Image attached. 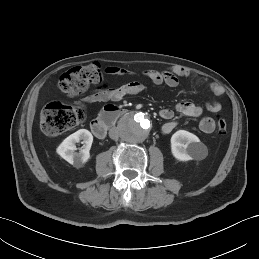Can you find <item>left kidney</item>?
I'll use <instances>...</instances> for the list:
<instances>
[{"mask_svg": "<svg viewBox=\"0 0 259 259\" xmlns=\"http://www.w3.org/2000/svg\"><path fill=\"white\" fill-rule=\"evenodd\" d=\"M203 146L196 135L185 130H179L171 137V152L179 161L194 159Z\"/></svg>", "mask_w": 259, "mask_h": 259, "instance_id": "left-kidney-1", "label": "left kidney"}]
</instances>
